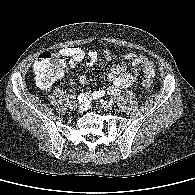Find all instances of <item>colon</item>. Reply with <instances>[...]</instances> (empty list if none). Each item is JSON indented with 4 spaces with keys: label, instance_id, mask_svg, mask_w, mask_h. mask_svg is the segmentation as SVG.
<instances>
[{
    "label": "colon",
    "instance_id": "5ec220e1",
    "mask_svg": "<svg viewBox=\"0 0 195 195\" xmlns=\"http://www.w3.org/2000/svg\"><path fill=\"white\" fill-rule=\"evenodd\" d=\"M65 61L60 55L52 52L41 53L34 62V71L38 84L47 88L59 79L64 70ZM145 87H151L152 81L148 78L142 81Z\"/></svg>",
    "mask_w": 195,
    "mask_h": 195
}]
</instances>
